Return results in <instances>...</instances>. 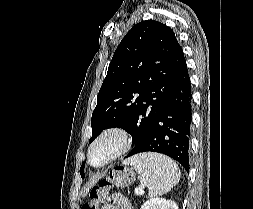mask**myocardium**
Segmentation results:
<instances>
[{
	"instance_id": "f54148a6",
	"label": "myocardium",
	"mask_w": 253,
	"mask_h": 209,
	"mask_svg": "<svg viewBox=\"0 0 253 209\" xmlns=\"http://www.w3.org/2000/svg\"><path fill=\"white\" fill-rule=\"evenodd\" d=\"M117 136L119 138V146L117 150L110 156L108 157L104 162L101 164L95 165L92 163V152L94 147L100 143L102 140H104L108 136ZM132 144V137L129 132V130L123 126L120 125H112L104 128L96 137L95 139L91 142L89 148H88V153H87V159L88 163L90 166L94 168H102L119 157H121L123 154H125L131 147Z\"/></svg>"
}]
</instances>
